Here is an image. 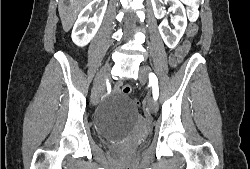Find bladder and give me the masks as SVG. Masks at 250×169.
Segmentation results:
<instances>
[{"instance_id": "31cf9c89", "label": "bladder", "mask_w": 250, "mask_h": 169, "mask_svg": "<svg viewBox=\"0 0 250 169\" xmlns=\"http://www.w3.org/2000/svg\"><path fill=\"white\" fill-rule=\"evenodd\" d=\"M99 135L98 133H96V138H97V142L101 145V146H104V147H107L109 149H122L128 145H107V142H100V138H99ZM132 146H135V145H132Z\"/></svg>"}]
</instances>
